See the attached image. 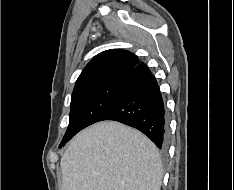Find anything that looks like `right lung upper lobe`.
Returning <instances> with one entry per match:
<instances>
[{"mask_svg": "<svg viewBox=\"0 0 234 190\" xmlns=\"http://www.w3.org/2000/svg\"><path fill=\"white\" fill-rule=\"evenodd\" d=\"M138 64V58L129 51L120 49L103 51L83 69L76 81L73 93L115 79H124Z\"/></svg>", "mask_w": 234, "mask_h": 190, "instance_id": "right-lung-upper-lobe-1", "label": "right lung upper lobe"}]
</instances>
